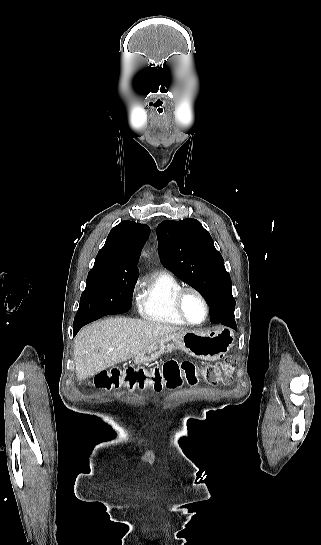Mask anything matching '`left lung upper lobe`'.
<instances>
[{"label": "left lung upper lobe", "mask_w": 321, "mask_h": 545, "mask_svg": "<svg viewBox=\"0 0 321 545\" xmlns=\"http://www.w3.org/2000/svg\"><path fill=\"white\" fill-rule=\"evenodd\" d=\"M162 264L196 289L208 302L210 311L234 314L232 284L220 252L207 230L196 219L165 220L157 227Z\"/></svg>", "instance_id": "obj_1"}]
</instances>
